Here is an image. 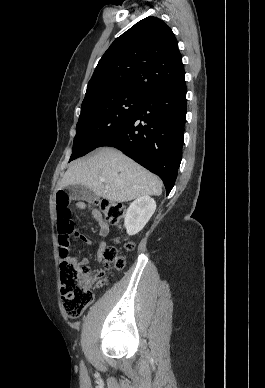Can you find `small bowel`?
<instances>
[{
    "label": "small bowel",
    "mask_w": 265,
    "mask_h": 388,
    "mask_svg": "<svg viewBox=\"0 0 265 388\" xmlns=\"http://www.w3.org/2000/svg\"><path fill=\"white\" fill-rule=\"evenodd\" d=\"M74 206L77 207L80 210H90V213L92 217L98 222L99 224V235L102 239H105L108 236L109 233V225L103 220L102 214L100 211L96 208H93L91 205L82 202V201H75ZM80 239L84 241L87 244H92L91 239L85 236H81ZM106 249V243L105 241H102L99 244L97 254H96V261L97 263H100L103 260V254L104 250ZM73 262L76 263L74 259H71ZM89 264L88 258H83L78 262V265L86 267Z\"/></svg>",
    "instance_id": "small-bowel-1"
}]
</instances>
